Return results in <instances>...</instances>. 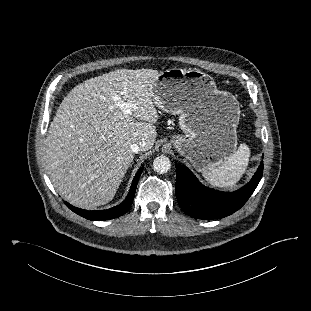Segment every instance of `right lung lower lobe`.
<instances>
[{"instance_id": "1", "label": "right lung lower lobe", "mask_w": 311, "mask_h": 311, "mask_svg": "<svg viewBox=\"0 0 311 311\" xmlns=\"http://www.w3.org/2000/svg\"><path fill=\"white\" fill-rule=\"evenodd\" d=\"M142 171H143V167H141L136 173L126 199L118 206H115L107 210L88 211V210H83V209L74 207L67 202H65V204L73 212L89 220L103 221V220H110V219L117 218L125 214L131 207L133 199H134V195H135L136 185H137V182L140 178Z\"/></svg>"}]
</instances>
